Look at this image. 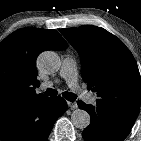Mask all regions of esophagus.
Listing matches in <instances>:
<instances>
[{
	"mask_svg": "<svg viewBox=\"0 0 141 141\" xmlns=\"http://www.w3.org/2000/svg\"><path fill=\"white\" fill-rule=\"evenodd\" d=\"M67 104H68V107H70L71 109H76L78 107L76 102L68 101Z\"/></svg>",
	"mask_w": 141,
	"mask_h": 141,
	"instance_id": "34e87169",
	"label": "esophagus"
}]
</instances>
